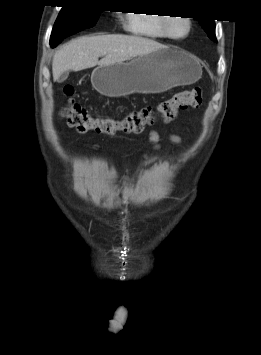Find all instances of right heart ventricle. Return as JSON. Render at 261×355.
I'll return each mask as SVG.
<instances>
[{"instance_id":"obj_1","label":"right heart ventricle","mask_w":261,"mask_h":355,"mask_svg":"<svg viewBox=\"0 0 261 355\" xmlns=\"http://www.w3.org/2000/svg\"><path fill=\"white\" fill-rule=\"evenodd\" d=\"M127 18L131 33L153 39L167 38L163 28L164 17L141 12L129 14Z\"/></svg>"}]
</instances>
